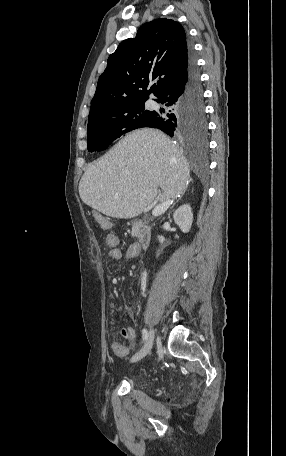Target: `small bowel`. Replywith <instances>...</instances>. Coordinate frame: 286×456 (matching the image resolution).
Returning <instances> with one entry per match:
<instances>
[{
	"mask_svg": "<svg viewBox=\"0 0 286 456\" xmlns=\"http://www.w3.org/2000/svg\"><path fill=\"white\" fill-rule=\"evenodd\" d=\"M106 244L109 247L107 256L111 260L120 261L128 260L137 257L140 254V247L138 244H132L121 250L119 248L118 236L114 233H109L106 237ZM121 335L130 343H134L136 338V332L133 327H124L121 329ZM114 353L119 357H124L129 353V347L125 344L114 342L113 345Z\"/></svg>",
	"mask_w": 286,
	"mask_h": 456,
	"instance_id": "small-bowel-1",
	"label": "small bowel"
}]
</instances>
